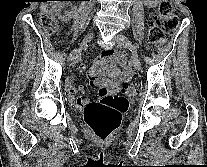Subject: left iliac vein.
<instances>
[{
  "instance_id": "1",
  "label": "left iliac vein",
  "mask_w": 207,
  "mask_h": 167,
  "mask_svg": "<svg viewBox=\"0 0 207 167\" xmlns=\"http://www.w3.org/2000/svg\"><path fill=\"white\" fill-rule=\"evenodd\" d=\"M114 41H115V43L118 47H122V48H125V49H128V50H131L133 52L132 62L134 64V67L138 71L141 70V62H140V59H139L136 51L132 50V47L134 46L132 44V42L127 37H125L123 35L115 36Z\"/></svg>"
}]
</instances>
